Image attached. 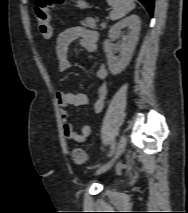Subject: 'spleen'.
I'll return each mask as SVG.
<instances>
[{
  "mask_svg": "<svg viewBox=\"0 0 188 213\" xmlns=\"http://www.w3.org/2000/svg\"><path fill=\"white\" fill-rule=\"evenodd\" d=\"M113 10L110 13V19L115 21L124 17L135 8L134 0H107Z\"/></svg>",
  "mask_w": 188,
  "mask_h": 213,
  "instance_id": "3e777b00",
  "label": "spleen"
}]
</instances>
